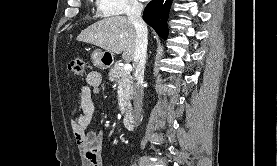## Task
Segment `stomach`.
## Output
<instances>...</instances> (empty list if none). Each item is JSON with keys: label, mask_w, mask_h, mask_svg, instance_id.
Wrapping results in <instances>:
<instances>
[{"label": "stomach", "mask_w": 277, "mask_h": 166, "mask_svg": "<svg viewBox=\"0 0 277 166\" xmlns=\"http://www.w3.org/2000/svg\"><path fill=\"white\" fill-rule=\"evenodd\" d=\"M113 54L96 49L91 54V60L95 67L100 69H106L113 63Z\"/></svg>", "instance_id": "1"}]
</instances>
